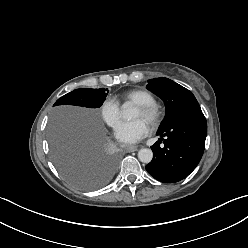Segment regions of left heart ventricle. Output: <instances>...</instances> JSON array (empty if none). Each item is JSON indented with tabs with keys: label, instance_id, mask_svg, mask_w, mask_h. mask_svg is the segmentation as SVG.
I'll return each instance as SVG.
<instances>
[{
	"label": "left heart ventricle",
	"instance_id": "1",
	"mask_svg": "<svg viewBox=\"0 0 248 248\" xmlns=\"http://www.w3.org/2000/svg\"><path fill=\"white\" fill-rule=\"evenodd\" d=\"M133 119H137V118H141L143 119L144 121L147 122V119L146 117L140 112L139 109L135 108V111L133 113V116H132Z\"/></svg>",
	"mask_w": 248,
	"mask_h": 248
}]
</instances>
